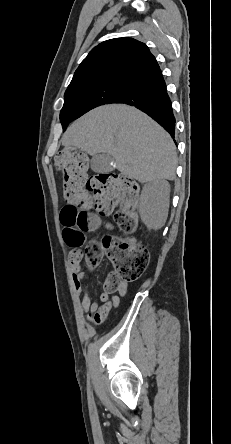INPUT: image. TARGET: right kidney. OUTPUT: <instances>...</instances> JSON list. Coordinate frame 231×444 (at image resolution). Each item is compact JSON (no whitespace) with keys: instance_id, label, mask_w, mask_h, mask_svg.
Returning <instances> with one entry per match:
<instances>
[{"instance_id":"obj_1","label":"right kidney","mask_w":231,"mask_h":444,"mask_svg":"<svg viewBox=\"0 0 231 444\" xmlns=\"http://www.w3.org/2000/svg\"><path fill=\"white\" fill-rule=\"evenodd\" d=\"M170 185L165 180L152 181L144 185L139 212L141 220L149 229L161 228L168 215Z\"/></svg>"}]
</instances>
